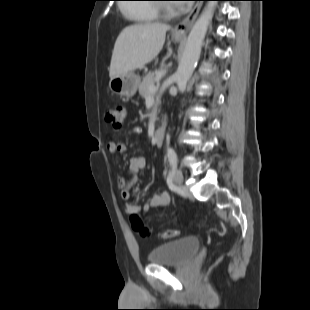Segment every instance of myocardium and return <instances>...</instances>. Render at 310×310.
<instances>
[{
  "instance_id": "f54148a6",
  "label": "myocardium",
  "mask_w": 310,
  "mask_h": 310,
  "mask_svg": "<svg viewBox=\"0 0 310 310\" xmlns=\"http://www.w3.org/2000/svg\"><path fill=\"white\" fill-rule=\"evenodd\" d=\"M157 10L163 16H171L172 14H174V10L168 4L158 5Z\"/></svg>"
}]
</instances>
